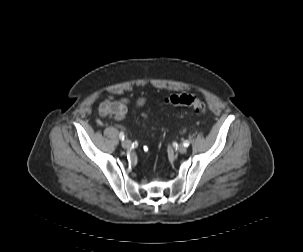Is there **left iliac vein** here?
I'll return each instance as SVG.
<instances>
[{
  "label": "left iliac vein",
  "mask_w": 303,
  "mask_h": 252,
  "mask_svg": "<svg viewBox=\"0 0 303 252\" xmlns=\"http://www.w3.org/2000/svg\"><path fill=\"white\" fill-rule=\"evenodd\" d=\"M178 151H179L181 154H184V153H186L187 148H186L184 145H180L179 148H178Z\"/></svg>",
  "instance_id": "4c4485c4"
}]
</instances>
